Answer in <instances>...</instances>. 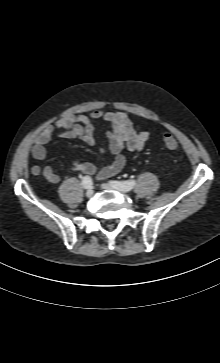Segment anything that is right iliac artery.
I'll return each mask as SVG.
<instances>
[{
    "label": "right iliac artery",
    "instance_id": "82829eb1",
    "mask_svg": "<svg viewBox=\"0 0 220 363\" xmlns=\"http://www.w3.org/2000/svg\"><path fill=\"white\" fill-rule=\"evenodd\" d=\"M92 179L90 176H84L82 179V185L85 189L91 188L92 187Z\"/></svg>",
    "mask_w": 220,
    "mask_h": 363
}]
</instances>
